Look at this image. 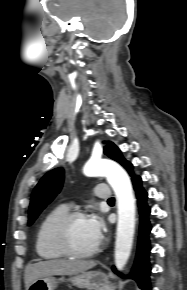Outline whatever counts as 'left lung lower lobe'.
<instances>
[{
	"label": "left lung lower lobe",
	"instance_id": "0a47b994",
	"mask_svg": "<svg viewBox=\"0 0 187 290\" xmlns=\"http://www.w3.org/2000/svg\"><path fill=\"white\" fill-rule=\"evenodd\" d=\"M141 178L138 176L133 180L134 189L137 192L138 206L140 213V231H139V240H138V250L136 255L135 264L131 273L128 276H123L120 274L116 268L113 266L112 269L114 272L118 273L123 278L134 279L139 288L142 290H151L149 273H150V264H149V237L148 234L151 230L150 222L148 216L150 214V208L146 203L147 193L141 185Z\"/></svg>",
	"mask_w": 187,
	"mask_h": 290
}]
</instances>
